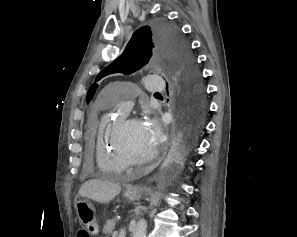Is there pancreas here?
Segmentation results:
<instances>
[{
	"mask_svg": "<svg viewBox=\"0 0 297 237\" xmlns=\"http://www.w3.org/2000/svg\"><path fill=\"white\" fill-rule=\"evenodd\" d=\"M116 225V219L107 220L106 224L103 227V233L111 235Z\"/></svg>",
	"mask_w": 297,
	"mask_h": 237,
	"instance_id": "obj_1",
	"label": "pancreas"
}]
</instances>
